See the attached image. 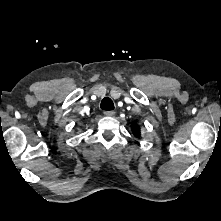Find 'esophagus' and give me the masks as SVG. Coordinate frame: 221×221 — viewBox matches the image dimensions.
I'll list each match as a JSON object with an SVG mask.
<instances>
[{"instance_id": "34e87169", "label": "esophagus", "mask_w": 221, "mask_h": 221, "mask_svg": "<svg viewBox=\"0 0 221 221\" xmlns=\"http://www.w3.org/2000/svg\"><path fill=\"white\" fill-rule=\"evenodd\" d=\"M104 114L106 116H114L115 115V112L114 111H105Z\"/></svg>"}]
</instances>
